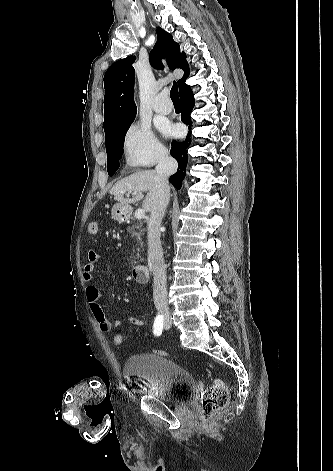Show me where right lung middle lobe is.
I'll return each instance as SVG.
<instances>
[{
  "mask_svg": "<svg viewBox=\"0 0 333 471\" xmlns=\"http://www.w3.org/2000/svg\"><path fill=\"white\" fill-rule=\"evenodd\" d=\"M134 118L118 123L105 131L107 170L110 176L119 168V159L123 154L124 138Z\"/></svg>",
  "mask_w": 333,
  "mask_h": 471,
  "instance_id": "1",
  "label": "right lung middle lobe"
}]
</instances>
